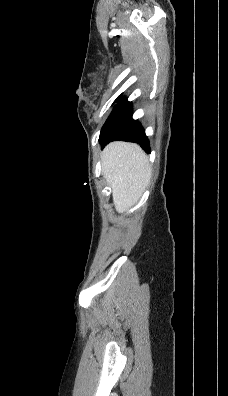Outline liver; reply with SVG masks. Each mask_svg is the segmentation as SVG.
<instances>
[{
    "label": "liver",
    "instance_id": "1",
    "mask_svg": "<svg viewBox=\"0 0 228 396\" xmlns=\"http://www.w3.org/2000/svg\"><path fill=\"white\" fill-rule=\"evenodd\" d=\"M102 172L112 188L118 213L126 212L142 196L151 178L148 156L134 143L116 141L102 152Z\"/></svg>",
    "mask_w": 228,
    "mask_h": 396
}]
</instances>
